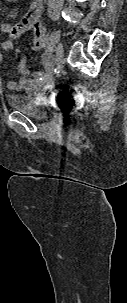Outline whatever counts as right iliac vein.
<instances>
[{
    "label": "right iliac vein",
    "mask_w": 127,
    "mask_h": 303,
    "mask_svg": "<svg viewBox=\"0 0 127 303\" xmlns=\"http://www.w3.org/2000/svg\"><path fill=\"white\" fill-rule=\"evenodd\" d=\"M63 58V46L62 44H59L56 48V58H55V62L57 64L61 63Z\"/></svg>",
    "instance_id": "1"
}]
</instances>
